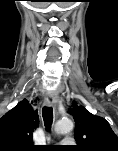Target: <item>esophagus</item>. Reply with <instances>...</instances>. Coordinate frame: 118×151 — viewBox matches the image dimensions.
<instances>
[{"label":"esophagus","instance_id":"esophagus-1","mask_svg":"<svg viewBox=\"0 0 118 151\" xmlns=\"http://www.w3.org/2000/svg\"><path fill=\"white\" fill-rule=\"evenodd\" d=\"M57 102V98H56V95L51 92V93H48L45 97V104L49 107L51 106H54Z\"/></svg>","mask_w":118,"mask_h":151}]
</instances>
